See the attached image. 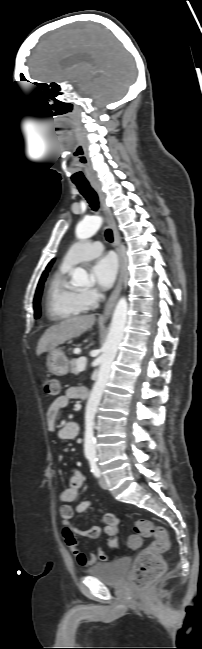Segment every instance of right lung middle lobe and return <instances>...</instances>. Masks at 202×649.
<instances>
[{"instance_id":"1","label":"right lung middle lobe","mask_w":202,"mask_h":649,"mask_svg":"<svg viewBox=\"0 0 202 649\" xmlns=\"http://www.w3.org/2000/svg\"><path fill=\"white\" fill-rule=\"evenodd\" d=\"M46 277H47V272L42 274V276L40 278V281L38 283L37 290H36V293H35V298H34V301H33L34 310H35L34 316H35L36 319H38L40 317V315H41L40 298H41V294H42V290H43V284L45 282Z\"/></svg>"}]
</instances>
